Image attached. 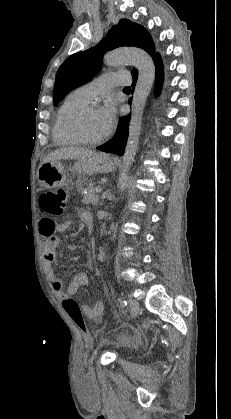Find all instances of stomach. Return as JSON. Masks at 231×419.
I'll use <instances>...</instances> for the list:
<instances>
[{"mask_svg": "<svg viewBox=\"0 0 231 419\" xmlns=\"http://www.w3.org/2000/svg\"><path fill=\"white\" fill-rule=\"evenodd\" d=\"M116 161L105 153H95L92 156L78 159L72 171L79 175H94L108 173L114 170ZM39 184L47 189L62 187L68 184L66 170L60 160L41 164L37 171Z\"/></svg>", "mask_w": 231, "mask_h": 419, "instance_id": "1", "label": "stomach"}]
</instances>
